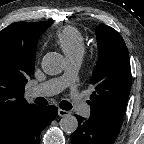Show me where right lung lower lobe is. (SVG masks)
Instances as JSON below:
<instances>
[{
	"mask_svg": "<svg viewBox=\"0 0 144 144\" xmlns=\"http://www.w3.org/2000/svg\"><path fill=\"white\" fill-rule=\"evenodd\" d=\"M55 106H35L29 110L20 125L2 144H39L42 130L47 127L57 116Z\"/></svg>",
	"mask_w": 144,
	"mask_h": 144,
	"instance_id": "right-lung-lower-lobe-1",
	"label": "right lung lower lobe"
}]
</instances>
